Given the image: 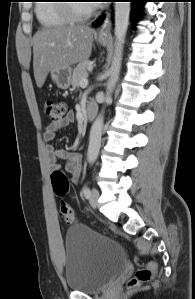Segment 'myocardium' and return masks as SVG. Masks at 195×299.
Instances as JSON below:
<instances>
[{
  "mask_svg": "<svg viewBox=\"0 0 195 299\" xmlns=\"http://www.w3.org/2000/svg\"><path fill=\"white\" fill-rule=\"evenodd\" d=\"M75 5V3H66L62 5L64 11L73 22H84L95 14V9L93 6H91L92 9L90 11L80 12L76 9Z\"/></svg>",
  "mask_w": 195,
  "mask_h": 299,
  "instance_id": "myocardium-1",
  "label": "myocardium"
}]
</instances>
